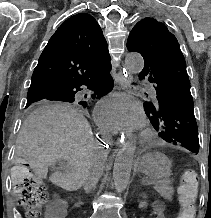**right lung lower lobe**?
Here are the masks:
<instances>
[{"label": "right lung lower lobe", "instance_id": "right-lung-lower-lobe-1", "mask_svg": "<svg viewBox=\"0 0 211 218\" xmlns=\"http://www.w3.org/2000/svg\"><path fill=\"white\" fill-rule=\"evenodd\" d=\"M111 70V64H106L104 66L99 67L90 77L83 79L81 81L69 84L64 87L61 91L54 93L58 94H72L75 95L79 90H81V86H88L91 90L95 91L92 97H102L109 93L114 85L113 79L109 73Z\"/></svg>", "mask_w": 211, "mask_h": 218}]
</instances>
